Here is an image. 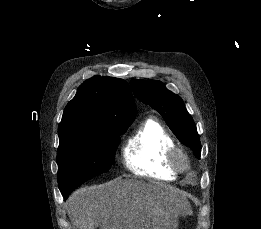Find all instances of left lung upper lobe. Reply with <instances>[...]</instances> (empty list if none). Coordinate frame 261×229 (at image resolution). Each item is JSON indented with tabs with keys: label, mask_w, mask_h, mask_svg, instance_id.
Returning a JSON list of instances; mask_svg holds the SVG:
<instances>
[{
	"label": "left lung upper lobe",
	"mask_w": 261,
	"mask_h": 229,
	"mask_svg": "<svg viewBox=\"0 0 261 229\" xmlns=\"http://www.w3.org/2000/svg\"><path fill=\"white\" fill-rule=\"evenodd\" d=\"M131 86L134 95L141 102L157 110L181 143L190 147L195 157L200 159V138L183 100L167 90L161 81L132 79Z\"/></svg>",
	"instance_id": "1"
}]
</instances>
